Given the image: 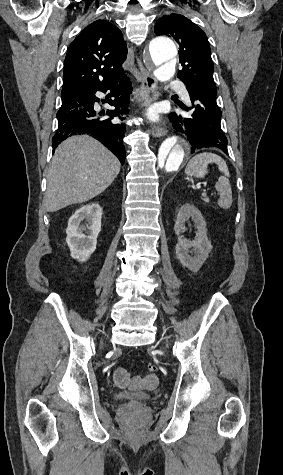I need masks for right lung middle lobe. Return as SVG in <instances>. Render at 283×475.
<instances>
[{
    "instance_id": "right-lung-middle-lobe-1",
    "label": "right lung middle lobe",
    "mask_w": 283,
    "mask_h": 475,
    "mask_svg": "<svg viewBox=\"0 0 283 475\" xmlns=\"http://www.w3.org/2000/svg\"><path fill=\"white\" fill-rule=\"evenodd\" d=\"M68 91H70V89H62V94L66 93Z\"/></svg>"
}]
</instances>
